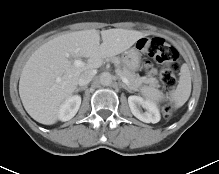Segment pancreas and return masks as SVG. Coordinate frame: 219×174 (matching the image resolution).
Instances as JSON below:
<instances>
[{"instance_id": "pancreas-1", "label": "pancreas", "mask_w": 219, "mask_h": 174, "mask_svg": "<svg viewBox=\"0 0 219 174\" xmlns=\"http://www.w3.org/2000/svg\"><path fill=\"white\" fill-rule=\"evenodd\" d=\"M112 62L120 68V60L118 58H112ZM120 76L128 79V86L136 90L141 84H150L151 86L158 87V80L154 77H140L138 74H135L133 71H130L126 67H123L119 70Z\"/></svg>"}]
</instances>
